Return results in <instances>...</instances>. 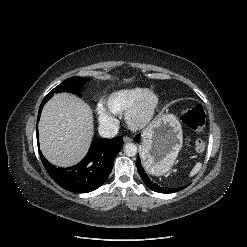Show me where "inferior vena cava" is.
I'll return each mask as SVG.
<instances>
[{"label": "inferior vena cava", "mask_w": 247, "mask_h": 247, "mask_svg": "<svg viewBox=\"0 0 247 247\" xmlns=\"http://www.w3.org/2000/svg\"><path fill=\"white\" fill-rule=\"evenodd\" d=\"M118 126H116L114 123H102L99 126V134L103 138H112L115 137L118 133Z\"/></svg>", "instance_id": "1"}]
</instances>
